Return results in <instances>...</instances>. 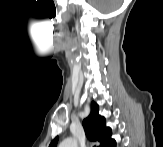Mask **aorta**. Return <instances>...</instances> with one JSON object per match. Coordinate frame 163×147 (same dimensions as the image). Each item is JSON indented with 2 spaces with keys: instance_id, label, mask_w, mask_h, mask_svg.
<instances>
[{
  "instance_id": "obj_1",
  "label": "aorta",
  "mask_w": 163,
  "mask_h": 147,
  "mask_svg": "<svg viewBox=\"0 0 163 147\" xmlns=\"http://www.w3.org/2000/svg\"><path fill=\"white\" fill-rule=\"evenodd\" d=\"M61 147H77V141L73 138L65 139L61 144Z\"/></svg>"
}]
</instances>
